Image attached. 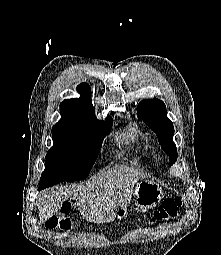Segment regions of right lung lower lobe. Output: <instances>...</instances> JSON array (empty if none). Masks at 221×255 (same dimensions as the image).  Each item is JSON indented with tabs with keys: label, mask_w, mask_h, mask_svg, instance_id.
Listing matches in <instances>:
<instances>
[{
	"label": "right lung lower lobe",
	"mask_w": 221,
	"mask_h": 255,
	"mask_svg": "<svg viewBox=\"0 0 221 255\" xmlns=\"http://www.w3.org/2000/svg\"><path fill=\"white\" fill-rule=\"evenodd\" d=\"M44 188H46L45 185H39L38 190H42V189H44Z\"/></svg>",
	"instance_id": "obj_1"
}]
</instances>
